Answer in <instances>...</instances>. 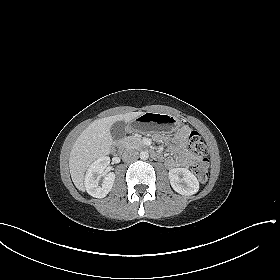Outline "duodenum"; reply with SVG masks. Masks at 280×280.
<instances>
[{"mask_svg": "<svg viewBox=\"0 0 280 280\" xmlns=\"http://www.w3.org/2000/svg\"><path fill=\"white\" fill-rule=\"evenodd\" d=\"M124 146H125V143L121 142V143L116 144L115 147H116L117 151H122L124 149ZM144 150H148L147 146L144 147ZM151 156H152V158H154L156 160H161L162 159V155L158 152H155V151L151 152Z\"/></svg>", "mask_w": 280, "mask_h": 280, "instance_id": "obj_1", "label": "duodenum"}]
</instances>
